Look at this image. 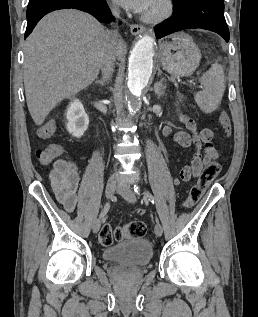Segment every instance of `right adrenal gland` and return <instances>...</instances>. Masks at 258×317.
I'll list each match as a JSON object with an SVG mask.
<instances>
[{
  "label": "right adrenal gland",
  "instance_id": "obj_1",
  "mask_svg": "<svg viewBox=\"0 0 258 317\" xmlns=\"http://www.w3.org/2000/svg\"><path fill=\"white\" fill-rule=\"evenodd\" d=\"M95 82H97L99 86H105L106 84V80H104V78H101V80H95Z\"/></svg>",
  "mask_w": 258,
  "mask_h": 317
}]
</instances>
